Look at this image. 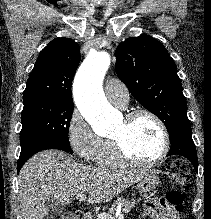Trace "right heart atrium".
<instances>
[{
    "label": "right heart atrium",
    "instance_id": "1",
    "mask_svg": "<svg viewBox=\"0 0 211 219\" xmlns=\"http://www.w3.org/2000/svg\"><path fill=\"white\" fill-rule=\"evenodd\" d=\"M67 139L74 153L85 161H94L104 142L78 110H74L69 118Z\"/></svg>",
    "mask_w": 211,
    "mask_h": 219
}]
</instances>
